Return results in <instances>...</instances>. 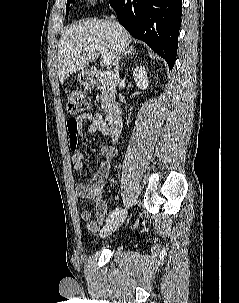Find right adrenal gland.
<instances>
[{"label":"right adrenal gland","mask_w":239,"mask_h":303,"mask_svg":"<svg viewBox=\"0 0 239 303\" xmlns=\"http://www.w3.org/2000/svg\"><path fill=\"white\" fill-rule=\"evenodd\" d=\"M127 55H137V52L133 46L127 47L125 50H123L121 59H123V56H127Z\"/></svg>","instance_id":"right-adrenal-gland-1"}]
</instances>
